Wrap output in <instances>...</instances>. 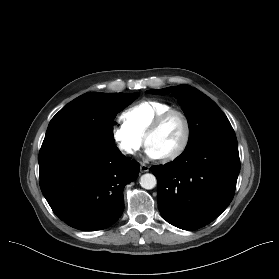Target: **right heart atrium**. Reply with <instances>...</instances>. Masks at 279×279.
Here are the masks:
<instances>
[{
    "label": "right heart atrium",
    "mask_w": 279,
    "mask_h": 279,
    "mask_svg": "<svg viewBox=\"0 0 279 279\" xmlns=\"http://www.w3.org/2000/svg\"><path fill=\"white\" fill-rule=\"evenodd\" d=\"M111 134L118 150L126 156L135 155L144 144L143 137L122 121L112 126Z\"/></svg>",
    "instance_id": "1"
}]
</instances>
